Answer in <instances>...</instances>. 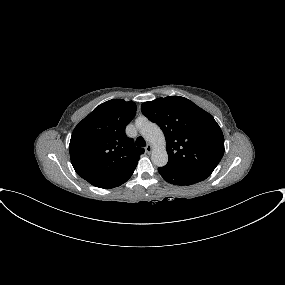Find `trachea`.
<instances>
[{"instance_id": "1", "label": "trachea", "mask_w": 285, "mask_h": 285, "mask_svg": "<svg viewBox=\"0 0 285 285\" xmlns=\"http://www.w3.org/2000/svg\"><path fill=\"white\" fill-rule=\"evenodd\" d=\"M136 146H138V147H144V146H146V142H145V140L142 138V137H138L137 139H136Z\"/></svg>"}]
</instances>
